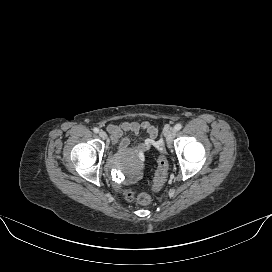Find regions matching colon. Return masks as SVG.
Wrapping results in <instances>:
<instances>
[{
	"label": "colon",
	"mask_w": 272,
	"mask_h": 272,
	"mask_svg": "<svg viewBox=\"0 0 272 272\" xmlns=\"http://www.w3.org/2000/svg\"><path fill=\"white\" fill-rule=\"evenodd\" d=\"M167 172L168 161L166 157L163 154H161L157 159V171L153 182V188L155 190H159L163 186L166 180ZM124 196L127 201H137L142 205H149L152 202V196L150 194L148 193L136 194L130 189L124 190Z\"/></svg>",
	"instance_id": "obj_1"
}]
</instances>
